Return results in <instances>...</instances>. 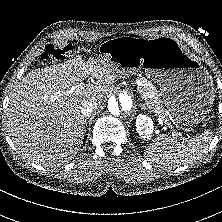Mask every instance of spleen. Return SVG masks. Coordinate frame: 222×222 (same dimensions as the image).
<instances>
[{
  "label": "spleen",
  "instance_id": "spleen-1",
  "mask_svg": "<svg viewBox=\"0 0 222 222\" xmlns=\"http://www.w3.org/2000/svg\"><path fill=\"white\" fill-rule=\"evenodd\" d=\"M211 132L206 131L185 142H177L171 137L158 136L146 151L152 163L158 165L177 167L188 165L203 156L211 141Z\"/></svg>",
  "mask_w": 222,
  "mask_h": 222
}]
</instances>
